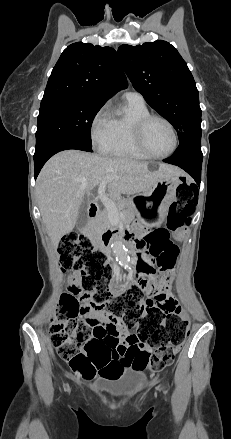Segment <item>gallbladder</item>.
<instances>
[{
    "mask_svg": "<svg viewBox=\"0 0 231 439\" xmlns=\"http://www.w3.org/2000/svg\"><path fill=\"white\" fill-rule=\"evenodd\" d=\"M89 206V199L87 196L83 198V201L81 203V206L79 208V213L77 217V226L79 228H83L88 220L87 210Z\"/></svg>",
    "mask_w": 231,
    "mask_h": 439,
    "instance_id": "obj_1",
    "label": "gallbladder"
}]
</instances>
